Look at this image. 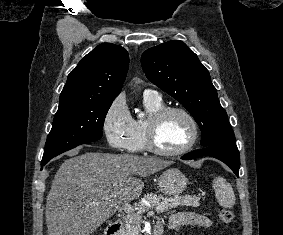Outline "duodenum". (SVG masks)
I'll list each match as a JSON object with an SVG mask.
<instances>
[{"instance_id":"410a0bca","label":"duodenum","mask_w":283,"mask_h":235,"mask_svg":"<svg viewBox=\"0 0 283 235\" xmlns=\"http://www.w3.org/2000/svg\"><path fill=\"white\" fill-rule=\"evenodd\" d=\"M123 223L120 220L114 221L111 223L107 230H106V235H120L122 231ZM163 228L160 223H157L154 230H153V235H162Z\"/></svg>"}]
</instances>
